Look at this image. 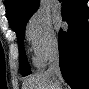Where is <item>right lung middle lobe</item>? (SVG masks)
<instances>
[{
  "label": "right lung middle lobe",
  "instance_id": "1",
  "mask_svg": "<svg viewBox=\"0 0 89 89\" xmlns=\"http://www.w3.org/2000/svg\"><path fill=\"white\" fill-rule=\"evenodd\" d=\"M28 20L29 18L18 23L14 27V31L16 32L18 45H19V65H20L21 74L23 76H27L31 74V69L28 64V60L26 57L25 49H24V34H25V27Z\"/></svg>",
  "mask_w": 89,
  "mask_h": 89
}]
</instances>
